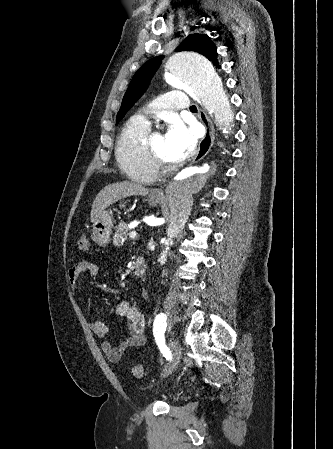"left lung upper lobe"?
<instances>
[{
    "instance_id": "left-lung-upper-lobe-1",
    "label": "left lung upper lobe",
    "mask_w": 333,
    "mask_h": 449,
    "mask_svg": "<svg viewBox=\"0 0 333 449\" xmlns=\"http://www.w3.org/2000/svg\"><path fill=\"white\" fill-rule=\"evenodd\" d=\"M176 51H195L213 62L218 68L217 49L211 38L206 34L194 33L176 48ZM162 57H154L148 60L134 75L123 97L121 108L117 114L116 122H119L126 112L133 106L138 98L146 91L153 75L161 64Z\"/></svg>"
}]
</instances>
